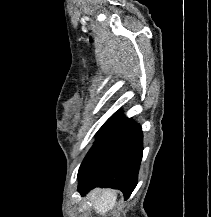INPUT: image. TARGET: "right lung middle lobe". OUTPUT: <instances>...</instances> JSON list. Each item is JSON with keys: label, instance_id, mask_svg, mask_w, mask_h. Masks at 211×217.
<instances>
[{"label": "right lung middle lobe", "instance_id": "dd1d6c3e", "mask_svg": "<svg viewBox=\"0 0 211 217\" xmlns=\"http://www.w3.org/2000/svg\"><path fill=\"white\" fill-rule=\"evenodd\" d=\"M114 120H112V119H109L103 126H102V128L98 131V133H102L112 122H113ZM99 134V135H100ZM99 137V136H98ZM97 137V138H98Z\"/></svg>", "mask_w": 211, "mask_h": 217}]
</instances>
